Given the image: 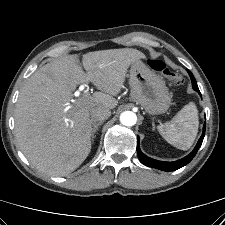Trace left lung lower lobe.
Returning <instances> with one entry per match:
<instances>
[{"label": "left lung lower lobe", "instance_id": "1", "mask_svg": "<svg viewBox=\"0 0 225 225\" xmlns=\"http://www.w3.org/2000/svg\"><path fill=\"white\" fill-rule=\"evenodd\" d=\"M187 72L190 75L193 89L200 93L199 88L197 86V82H196L193 74L188 69H187ZM205 128H206V123H204L203 134L200 137L194 150L188 156H186L183 159H180L178 161H174V162H162V161H157V160L147 157L140 151L139 143L137 142V152H138V157H139L140 162L148 167H153V168L160 169L163 171H175V170L185 166L194 158L199 147L201 146V144L203 142V138L205 136ZM137 141H139V137H137Z\"/></svg>", "mask_w": 225, "mask_h": 225}]
</instances>
